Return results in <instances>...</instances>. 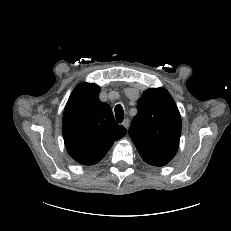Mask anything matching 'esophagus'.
Returning <instances> with one entry per match:
<instances>
[{
	"mask_svg": "<svg viewBox=\"0 0 231 231\" xmlns=\"http://www.w3.org/2000/svg\"><path fill=\"white\" fill-rule=\"evenodd\" d=\"M122 124L126 129H128L129 128V119H125Z\"/></svg>",
	"mask_w": 231,
	"mask_h": 231,
	"instance_id": "esophagus-1",
	"label": "esophagus"
}]
</instances>
